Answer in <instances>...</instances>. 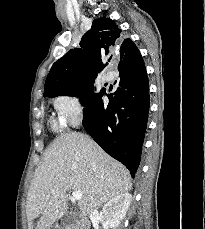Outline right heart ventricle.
<instances>
[{
    "label": "right heart ventricle",
    "instance_id": "1",
    "mask_svg": "<svg viewBox=\"0 0 205 229\" xmlns=\"http://www.w3.org/2000/svg\"><path fill=\"white\" fill-rule=\"evenodd\" d=\"M62 125L61 124H54L55 128H60Z\"/></svg>",
    "mask_w": 205,
    "mask_h": 229
}]
</instances>
